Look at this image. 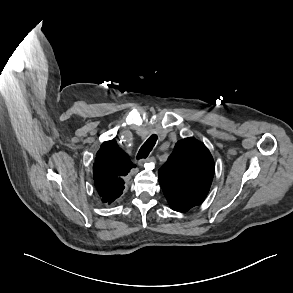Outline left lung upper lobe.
Here are the masks:
<instances>
[{"label":"left lung upper lobe","mask_w":293,"mask_h":293,"mask_svg":"<svg viewBox=\"0 0 293 293\" xmlns=\"http://www.w3.org/2000/svg\"><path fill=\"white\" fill-rule=\"evenodd\" d=\"M215 165L210 151L194 138L177 142L159 169L160 186L170 205L183 211L203 202L210 189Z\"/></svg>","instance_id":"5c2ea615"}]
</instances>
